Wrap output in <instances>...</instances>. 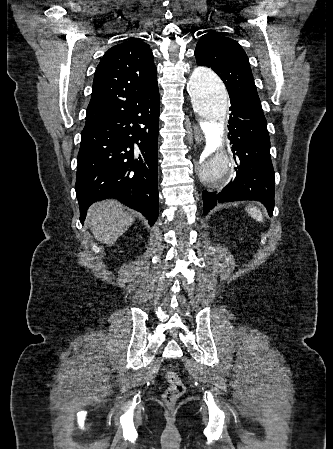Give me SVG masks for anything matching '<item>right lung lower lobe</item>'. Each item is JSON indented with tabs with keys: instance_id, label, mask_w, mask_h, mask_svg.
I'll return each mask as SVG.
<instances>
[{
	"instance_id": "98d812e1",
	"label": "right lung lower lobe",
	"mask_w": 333,
	"mask_h": 449,
	"mask_svg": "<svg viewBox=\"0 0 333 449\" xmlns=\"http://www.w3.org/2000/svg\"><path fill=\"white\" fill-rule=\"evenodd\" d=\"M159 92L98 123L85 125L77 161L76 196L83 223L87 208L116 198L153 225L158 217Z\"/></svg>"
}]
</instances>
